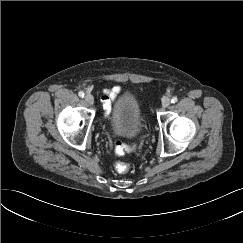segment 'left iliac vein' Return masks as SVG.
I'll list each match as a JSON object with an SVG mask.
<instances>
[{
    "label": "left iliac vein",
    "mask_w": 243,
    "mask_h": 243,
    "mask_svg": "<svg viewBox=\"0 0 243 243\" xmlns=\"http://www.w3.org/2000/svg\"><path fill=\"white\" fill-rule=\"evenodd\" d=\"M170 105V99L169 98H164L163 100H162V106L163 107H168Z\"/></svg>",
    "instance_id": "1"
}]
</instances>
